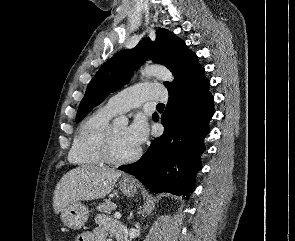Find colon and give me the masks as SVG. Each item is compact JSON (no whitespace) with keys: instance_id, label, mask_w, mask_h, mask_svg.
I'll list each match as a JSON object with an SVG mask.
<instances>
[{"instance_id":"colon-1","label":"colon","mask_w":295,"mask_h":241,"mask_svg":"<svg viewBox=\"0 0 295 241\" xmlns=\"http://www.w3.org/2000/svg\"><path fill=\"white\" fill-rule=\"evenodd\" d=\"M77 241H83L82 237L79 236Z\"/></svg>"}]
</instances>
